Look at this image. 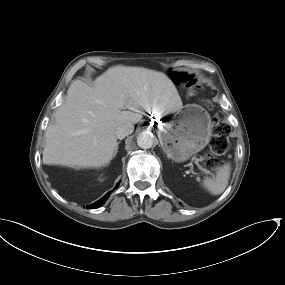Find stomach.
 <instances>
[{
	"mask_svg": "<svg viewBox=\"0 0 285 285\" xmlns=\"http://www.w3.org/2000/svg\"><path fill=\"white\" fill-rule=\"evenodd\" d=\"M211 119L198 105H187L159 127L164 152L176 162L188 160L201 151L211 138Z\"/></svg>",
	"mask_w": 285,
	"mask_h": 285,
	"instance_id": "stomach-1",
	"label": "stomach"
}]
</instances>
